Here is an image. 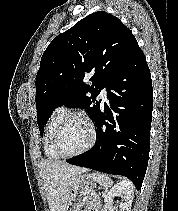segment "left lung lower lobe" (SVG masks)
<instances>
[{"label": "left lung lower lobe", "instance_id": "left-lung-lower-lobe-1", "mask_svg": "<svg viewBox=\"0 0 178 211\" xmlns=\"http://www.w3.org/2000/svg\"><path fill=\"white\" fill-rule=\"evenodd\" d=\"M107 94L111 109L105 103L94 121L98 129L95 146L67 162L126 176L139 190L149 158L153 89L138 45L111 78Z\"/></svg>", "mask_w": 178, "mask_h": 211}]
</instances>
